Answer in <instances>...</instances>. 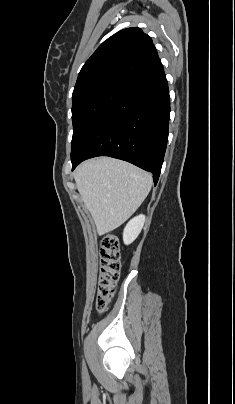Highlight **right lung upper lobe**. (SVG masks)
<instances>
[{"instance_id": "cb5924a9", "label": "right lung upper lobe", "mask_w": 235, "mask_h": 404, "mask_svg": "<svg viewBox=\"0 0 235 404\" xmlns=\"http://www.w3.org/2000/svg\"><path fill=\"white\" fill-rule=\"evenodd\" d=\"M161 65L151 38L139 28L121 30L104 41L82 67L73 91L104 82L130 81Z\"/></svg>"}]
</instances>
